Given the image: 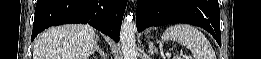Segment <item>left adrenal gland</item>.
Wrapping results in <instances>:
<instances>
[{
	"label": "left adrenal gland",
	"instance_id": "left-adrenal-gland-1",
	"mask_svg": "<svg viewBox=\"0 0 261 59\" xmlns=\"http://www.w3.org/2000/svg\"><path fill=\"white\" fill-rule=\"evenodd\" d=\"M158 50L154 47L153 42L149 43V50H148V54L149 55H154L157 54Z\"/></svg>",
	"mask_w": 261,
	"mask_h": 59
}]
</instances>
